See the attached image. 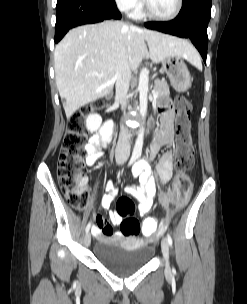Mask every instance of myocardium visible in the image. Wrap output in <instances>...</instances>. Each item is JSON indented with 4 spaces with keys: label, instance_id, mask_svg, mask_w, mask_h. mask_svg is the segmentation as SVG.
<instances>
[{
    "label": "myocardium",
    "instance_id": "myocardium-1",
    "mask_svg": "<svg viewBox=\"0 0 247 304\" xmlns=\"http://www.w3.org/2000/svg\"><path fill=\"white\" fill-rule=\"evenodd\" d=\"M182 6H183V0H176V7L171 14H169L167 16H159V15L154 14L150 10V8L148 6V3H147V0H144L143 12L150 19H153V20H156V21L167 22V21L174 20L179 15V13L181 12Z\"/></svg>",
    "mask_w": 247,
    "mask_h": 304
}]
</instances>
